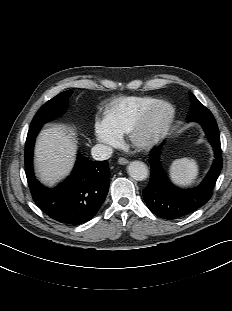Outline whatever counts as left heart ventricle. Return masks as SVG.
<instances>
[{
    "label": "left heart ventricle",
    "mask_w": 232,
    "mask_h": 311,
    "mask_svg": "<svg viewBox=\"0 0 232 311\" xmlns=\"http://www.w3.org/2000/svg\"><path fill=\"white\" fill-rule=\"evenodd\" d=\"M166 114V109H160L159 111H157L149 120L147 126H146V131H152L153 129H155L158 124L160 123V121L163 119V117Z\"/></svg>",
    "instance_id": "b2bd125f"
}]
</instances>
